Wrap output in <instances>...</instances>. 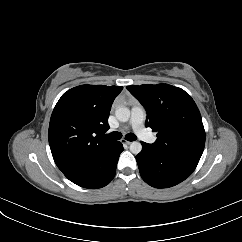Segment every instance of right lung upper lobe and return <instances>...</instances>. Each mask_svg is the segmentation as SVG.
<instances>
[{
	"instance_id": "cb5924a9",
	"label": "right lung upper lobe",
	"mask_w": 242,
	"mask_h": 242,
	"mask_svg": "<svg viewBox=\"0 0 242 242\" xmlns=\"http://www.w3.org/2000/svg\"><path fill=\"white\" fill-rule=\"evenodd\" d=\"M122 89L81 85L61 96L51 115L48 139L53 159L63 173L114 142L103 136L109 129L111 105Z\"/></svg>"
}]
</instances>
